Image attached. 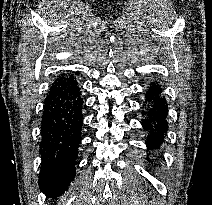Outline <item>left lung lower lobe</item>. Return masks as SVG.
Instances as JSON below:
<instances>
[{
    "label": "left lung lower lobe",
    "mask_w": 212,
    "mask_h": 205,
    "mask_svg": "<svg viewBox=\"0 0 212 205\" xmlns=\"http://www.w3.org/2000/svg\"><path fill=\"white\" fill-rule=\"evenodd\" d=\"M162 89L156 82L150 84L146 92L145 110L142 114L146 117L142 119L143 128L149 132L147 138V147L150 149H159L164 141V133L168 129L167 115L168 104L165 97L161 94Z\"/></svg>",
    "instance_id": "1"
}]
</instances>
